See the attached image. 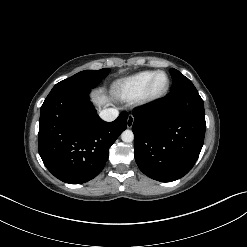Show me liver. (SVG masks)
<instances>
[{
  "instance_id": "liver-1",
  "label": "liver",
  "mask_w": 247,
  "mask_h": 247,
  "mask_svg": "<svg viewBox=\"0 0 247 247\" xmlns=\"http://www.w3.org/2000/svg\"><path fill=\"white\" fill-rule=\"evenodd\" d=\"M92 100L97 107L107 106L110 104V99L101 92H94L92 95Z\"/></svg>"
}]
</instances>
